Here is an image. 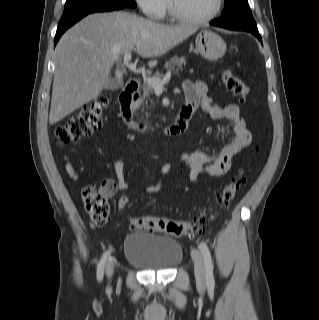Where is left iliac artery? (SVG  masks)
I'll use <instances>...</instances> for the list:
<instances>
[{"instance_id":"44dca946","label":"left iliac artery","mask_w":319,"mask_h":320,"mask_svg":"<svg viewBox=\"0 0 319 320\" xmlns=\"http://www.w3.org/2000/svg\"><path fill=\"white\" fill-rule=\"evenodd\" d=\"M199 249L204 257L205 260V266H206V276H207V283L209 286H214V276H213V263H212V257L210 250L206 243L201 242L199 244Z\"/></svg>"}]
</instances>
